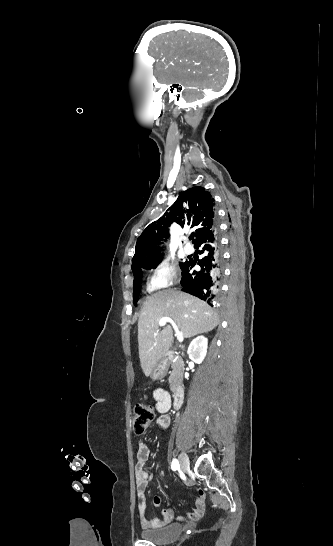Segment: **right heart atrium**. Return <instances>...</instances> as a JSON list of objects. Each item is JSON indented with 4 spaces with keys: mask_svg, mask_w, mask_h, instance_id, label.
<instances>
[{
    "mask_svg": "<svg viewBox=\"0 0 333 546\" xmlns=\"http://www.w3.org/2000/svg\"><path fill=\"white\" fill-rule=\"evenodd\" d=\"M178 279L177 269L174 264L165 260L153 269L147 280L148 291H156L173 286Z\"/></svg>",
    "mask_w": 333,
    "mask_h": 546,
    "instance_id": "1",
    "label": "right heart atrium"
}]
</instances>
